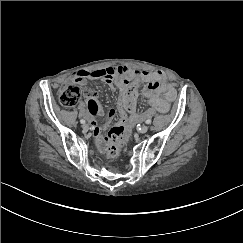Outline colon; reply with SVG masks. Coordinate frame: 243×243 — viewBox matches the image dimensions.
Here are the masks:
<instances>
[{
	"label": "colon",
	"instance_id": "1",
	"mask_svg": "<svg viewBox=\"0 0 243 243\" xmlns=\"http://www.w3.org/2000/svg\"><path fill=\"white\" fill-rule=\"evenodd\" d=\"M138 95L137 84L125 81L119 97L120 119L109 132L108 155L117 159L122 146L127 140L131 119L136 115V100ZM80 89L73 84L62 86L58 93V100L63 107L71 108L80 100Z\"/></svg>",
	"mask_w": 243,
	"mask_h": 243
}]
</instances>
